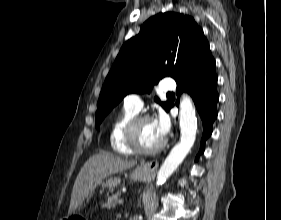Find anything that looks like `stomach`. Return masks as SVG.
Returning a JSON list of instances; mask_svg holds the SVG:
<instances>
[{
    "mask_svg": "<svg viewBox=\"0 0 281 220\" xmlns=\"http://www.w3.org/2000/svg\"><path fill=\"white\" fill-rule=\"evenodd\" d=\"M127 176V174H126ZM153 176V169L151 168V165L149 163H142L141 165H138L133 171L129 173V178L133 181H149ZM121 179L120 177H110L106 179L105 182H102L103 187H107L109 189L116 187L118 184H120ZM82 216L73 213L69 214L66 217V220H81Z\"/></svg>",
    "mask_w": 281,
    "mask_h": 220,
    "instance_id": "1",
    "label": "stomach"
}]
</instances>
